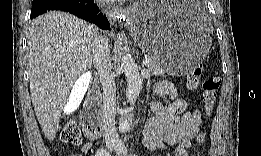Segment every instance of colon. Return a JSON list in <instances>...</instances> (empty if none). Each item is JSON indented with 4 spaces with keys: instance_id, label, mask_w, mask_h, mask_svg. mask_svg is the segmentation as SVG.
I'll use <instances>...</instances> for the list:
<instances>
[{
    "instance_id": "colon-1",
    "label": "colon",
    "mask_w": 261,
    "mask_h": 156,
    "mask_svg": "<svg viewBox=\"0 0 261 156\" xmlns=\"http://www.w3.org/2000/svg\"><path fill=\"white\" fill-rule=\"evenodd\" d=\"M201 78V66L195 67L191 70L187 76V86L190 90H195ZM221 81L217 76H209L204 79L201 83L203 90V108L207 115L211 114L216 103L217 93L220 87ZM84 131L86 135L91 138H96L100 136V128L97 125H86ZM62 142L70 145L77 146L82 141V133L80 125L77 121H69L61 132ZM206 135L204 132H200L196 136V142L198 145L205 143Z\"/></svg>"
}]
</instances>
